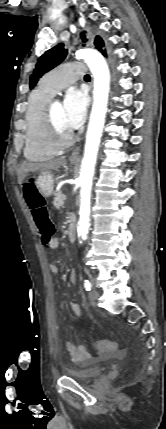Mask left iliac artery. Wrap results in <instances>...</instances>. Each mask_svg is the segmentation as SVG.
<instances>
[{
  "label": "left iliac artery",
  "mask_w": 166,
  "mask_h": 429,
  "mask_svg": "<svg viewBox=\"0 0 166 429\" xmlns=\"http://www.w3.org/2000/svg\"><path fill=\"white\" fill-rule=\"evenodd\" d=\"M84 287H85L86 291H90L92 284L88 280H85L84 281Z\"/></svg>",
  "instance_id": "1"
}]
</instances>
